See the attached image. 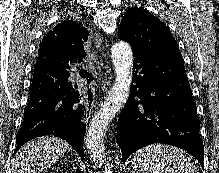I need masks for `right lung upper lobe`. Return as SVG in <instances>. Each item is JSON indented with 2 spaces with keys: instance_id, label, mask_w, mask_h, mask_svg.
I'll use <instances>...</instances> for the list:
<instances>
[{
  "instance_id": "obj_1",
  "label": "right lung upper lobe",
  "mask_w": 219,
  "mask_h": 173,
  "mask_svg": "<svg viewBox=\"0 0 219 173\" xmlns=\"http://www.w3.org/2000/svg\"><path fill=\"white\" fill-rule=\"evenodd\" d=\"M81 23L63 21L43 38L36 63L40 61L83 59L86 56L83 43L88 31Z\"/></svg>"
}]
</instances>
